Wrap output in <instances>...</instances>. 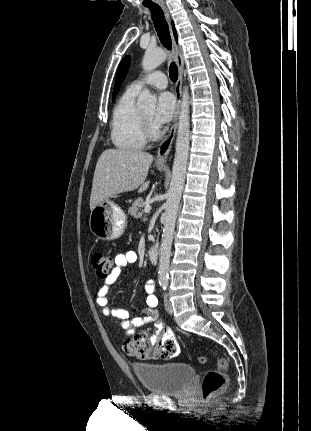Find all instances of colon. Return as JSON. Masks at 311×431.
<instances>
[{
	"label": "colon",
	"instance_id": "5ec220e1",
	"mask_svg": "<svg viewBox=\"0 0 311 431\" xmlns=\"http://www.w3.org/2000/svg\"><path fill=\"white\" fill-rule=\"evenodd\" d=\"M91 266L99 278H106L113 266V256L106 251H94L90 257ZM123 350L130 356L143 360L155 358L171 359L180 353V347L174 336H164L159 340H152L143 334L124 342ZM216 358V368L206 372L202 380V392L204 397L223 389L227 383V371L229 363L227 359L216 351H211ZM201 364L206 363L204 356L199 357Z\"/></svg>",
	"mask_w": 311,
	"mask_h": 431
}]
</instances>
